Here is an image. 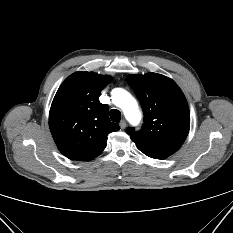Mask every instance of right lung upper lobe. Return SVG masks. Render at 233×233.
I'll use <instances>...</instances> for the list:
<instances>
[{
  "mask_svg": "<svg viewBox=\"0 0 233 233\" xmlns=\"http://www.w3.org/2000/svg\"><path fill=\"white\" fill-rule=\"evenodd\" d=\"M112 80L93 72L73 73L59 87L49 113V127L60 152L89 161L105 149L107 136L120 129L108 117L100 92Z\"/></svg>",
  "mask_w": 233,
  "mask_h": 233,
  "instance_id": "right-lung-upper-lobe-1",
  "label": "right lung upper lobe"
}]
</instances>
